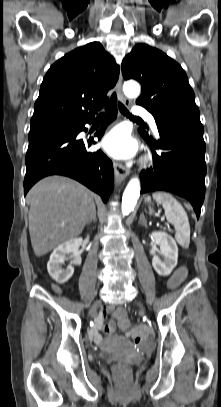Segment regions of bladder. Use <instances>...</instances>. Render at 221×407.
Returning a JSON list of instances; mask_svg holds the SVG:
<instances>
[{
	"label": "bladder",
	"instance_id": "31cf9c89",
	"mask_svg": "<svg viewBox=\"0 0 221 407\" xmlns=\"http://www.w3.org/2000/svg\"><path fill=\"white\" fill-rule=\"evenodd\" d=\"M121 343V339L117 337H112L107 341V346L104 349L106 353H112L115 351V345Z\"/></svg>",
	"mask_w": 221,
	"mask_h": 407
}]
</instances>
